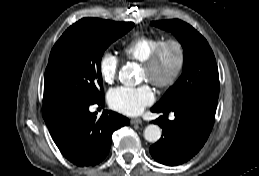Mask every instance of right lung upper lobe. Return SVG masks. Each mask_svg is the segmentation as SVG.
I'll use <instances>...</instances> for the list:
<instances>
[{"mask_svg":"<svg viewBox=\"0 0 259 176\" xmlns=\"http://www.w3.org/2000/svg\"><path fill=\"white\" fill-rule=\"evenodd\" d=\"M51 99H53L52 96L44 94V101H48V100H51Z\"/></svg>","mask_w":259,"mask_h":176,"instance_id":"right-lung-upper-lobe-1","label":"right lung upper lobe"}]
</instances>
